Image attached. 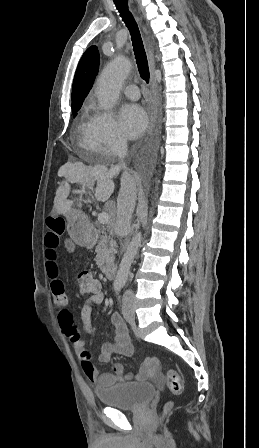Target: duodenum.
Returning <instances> with one entry per match:
<instances>
[{"label": "duodenum", "instance_id": "obj_1", "mask_svg": "<svg viewBox=\"0 0 259 448\" xmlns=\"http://www.w3.org/2000/svg\"><path fill=\"white\" fill-rule=\"evenodd\" d=\"M97 236V230L95 228H91L88 233V244L91 246L94 243V240ZM118 266L115 263H109L104 267V274L107 279L114 280L117 274Z\"/></svg>", "mask_w": 259, "mask_h": 448}]
</instances>
